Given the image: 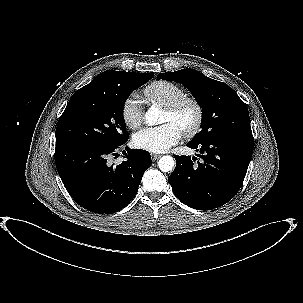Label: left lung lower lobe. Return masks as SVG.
Wrapping results in <instances>:
<instances>
[{
  "mask_svg": "<svg viewBox=\"0 0 303 303\" xmlns=\"http://www.w3.org/2000/svg\"><path fill=\"white\" fill-rule=\"evenodd\" d=\"M187 146L200 152L201 161L175 156L176 168L168 181L177 198L198 210H211L230 201L243 183L254 138L226 136Z\"/></svg>",
  "mask_w": 303,
  "mask_h": 303,
  "instance_id": "obj_1",
  "label": "left lung lower lobe"
}]
</instances>
